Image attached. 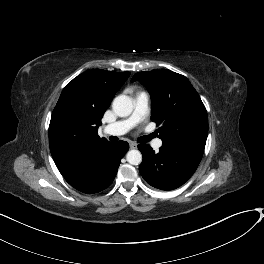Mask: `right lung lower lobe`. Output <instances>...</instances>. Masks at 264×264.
Returning a JSON list of instances; mask_svg holds the SVG:
<instances>
[{"label":"right lung lower lobe","mask_w":264,"mask_h":264,"mask_svg":"<svg viewBox=\"0 0 264 264\" xmlns=\"http://www.w3.org/2000/svg\"><path fill=\"white\" fill-rule=\"evenodd\" d=\"M125 141L109 142L98 149L82 166L63 175L75 189L88 194L100 192L113 182L121 159L128 151Z\"/></svg>","instance_id":"right-lung-lower-lobe-1"}]
</instances>
